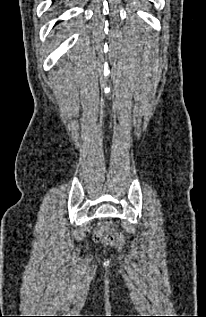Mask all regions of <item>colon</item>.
<instances>
[{
  "mask_svg": "<svg viewBox=\"0 0 206 317\" xmlns=\"http://www.w3.org/2000/svg\"><path fill=\"white\" fill-rule=\"evenodd\" d=\"M95 239L97 241H105L117 247H121L124 244V238L122 234L116 231L109 224H106L101 228Z\"/></svg>",
  "mask_w": 206,
  "mask_h": 317,
  "instance_id": "obj_1",
  "label": "colon"
}]
</instances>
